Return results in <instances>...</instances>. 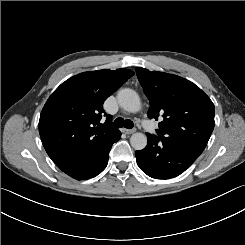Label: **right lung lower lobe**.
<instances>
[{
	"label": "right lung lower lobe",
	"instance_id": "98d812e1",
	"mask_svg": "<svg viewBox=\"0 0 245 245\" xmlns=\"http://www.w3.org/2000/svg\"><path fill=\"white\" fill-rule=\"evenodd\" d=\"M121 137L118 130L103 143L82 149L59 165V169L76 180L90 179L100 174L107 166L109 151Z\"/></svg>",
	"mask_w": 245,
	"mask_h": 245
}]
</instances>
